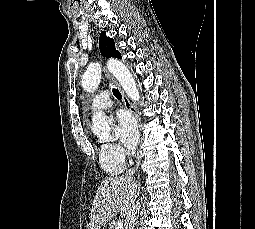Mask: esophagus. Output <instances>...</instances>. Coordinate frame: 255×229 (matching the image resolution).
<instances>
[{"label": "esophagus", "instance_id": "1", "mask_svg": "<svg viewBox=\"0 0 255 229\" xmlns=\"http://www.w3.org/2000/svg\"><path fill=\"white\" fill-rule=\"evenodd\" d=\"M106 75L114 82V84L119 89V91L122 95V101L124 103L125 108L128 109L134 115V117L137 121L138 127L141 129V117L138 114L136 108L132 105V103L130 102V100L126 96L125 92L122 90L121 86L116 81V79L109 73H107ZM141 157H142V152H141V150H139L138 153H137V157H136V166H137V168H139V165H140V162H141Z\"/></svg>", "mask_w": 255, "mask_h": 229}]
</instances>
